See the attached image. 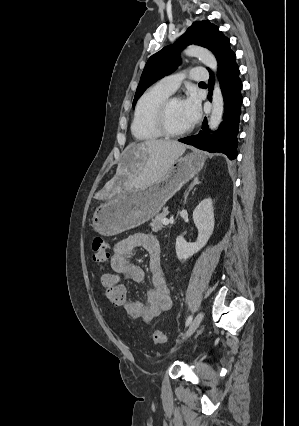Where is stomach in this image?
Masks as SVG:
<instances>
[{
	"label": "stomach",
	"instance_id": "1",
	"mask_svg": "<svg viewBox=\"0 0 299 426\" xmlns=\"http://www.w3.org/2000/svg\"><path fill=\"white\" fill-rule=\"evenodd\" d=\"M204 163L205 157L198 151L180 156L158 181L142 188H131L102 203L92 217L94 230L103 236H113L147 222L203 168Z\"/></svg>",
	"mask_w": 299,
	"mask_h": 426
}]
</instances>
